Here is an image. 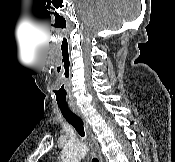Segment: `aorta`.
<instances>
[{"label":"aorta","instance_id":"1","mask_svg":"<svg viewBox=\"0 0 175 162\" xmlns=\"http://www.w3.org/2000/svg\"><path fill=\"white\" fill-rule=\"evenodd\" d=\"M87 150L83 142H69L61 151V162H80Z\"/></svg>","mask_w":175,"mask_h":162}]
</instances>
